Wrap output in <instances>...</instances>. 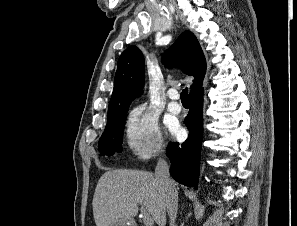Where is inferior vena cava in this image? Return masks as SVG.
I'll return each mask as SVG.
<instances>
[{
  "mask_svg": "<svg viewBox=\"0 0 297 226\" xmlns=\"http://www.w3.org/2000/svg\"><path fill=\"white\" fill-rule=\"evenodd\" d=\"M155 177L165 193V206L170 219V226H176L175 220L178 211V192L171 179L168 163L163 158H159L157 162Z\"/></svg>",
  "mask_w": 297,
  "mask_h": 226,
  "instance_id": "1",
  "label": "inferior vena cava"
}]
</instances>
